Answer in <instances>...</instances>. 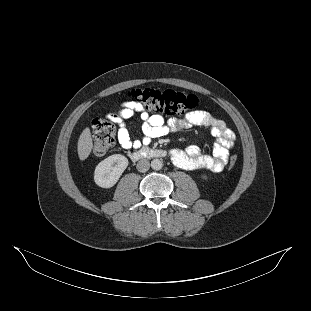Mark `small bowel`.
Returning a JSON list of instances; mask_svg holds the SVG:
<instances>
[{
  "label": "small bowel",
  "mask_w": 311,
  "mask_h": 311,
  "mask_svg": "<svg viewBox=\"0 0 311 311\" xmlns=\"http://www.w3.org/2000/svg\"><path fill=\"white\" fill-rule=\"evenodd\" d=\"M134 115L142 120V137L133 140L126 127L125 121ZM109 118L118 125L117 139L124 149L138 148L148 145L153 139L166 136L185 128L200 126L207 128L216 138L213 152L202 154L197 146L170 151L172 162L185 170L207 169L221 172L227 164L230 150L235 146L236 136L225 122L213 117L206 111H192L182 119L165 120L161 115L150 114L149 111L135 101L124 102L118 114H111Z\"/></svg>",
  "instance_id": "c3829d8e"
}]
</instances>
